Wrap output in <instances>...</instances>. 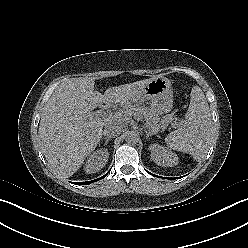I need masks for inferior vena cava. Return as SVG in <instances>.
<instances>
[{
	"mask_svg": "<svg viewBox=\"0 0 248 248\" xmlns=\"http://www.w3.org/2000/svg\"><path fill=\"white\" fill-rule=\"evenodd\" d=\"M122 129L117 124H108L105 126L103 133L109 137H115L120 135Z\"/></svg>",
	"mask_w": 248,
	"mask_h": 248,
	"instance_id": "602c4592",
	"label": "inferior vena cava"
}]
</instances>
